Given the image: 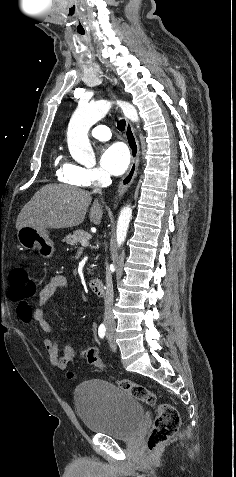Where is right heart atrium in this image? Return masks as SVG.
Masks as SVG:
<instances>
[{
  "label": "right heart atrium",
  "mask_w": 236,
  "mask_h": 477,
  "mask_svg": "<svg viewBox=\"0 0 236 477\" xmlns=\"http://www.w3.org/2000/svg\"><path fill=\"white\" fill-rule=\"evenodd\" d=\"M61 178L64 182L75 186L89 187L106 181L108 175L98 167L65 164L61 171Z\"/></svg>",
  "instance_id": "1"
}]
</instances>
